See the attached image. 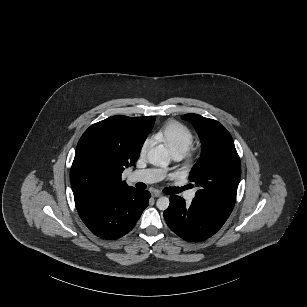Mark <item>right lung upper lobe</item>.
I'll return each instance as SVG.
<instances>
[{
  "label": "right lung upper lobe",
  "mask_w": 307,
  "mask_h": 307,
  "mask_svg": "<svg viewBox=\"0 0 307 307\" xmlns=\"http://www.w3.org/2000/svg\"><path fill=\"white\" fill-rule=\"evenodd\" d=\"M155 121L154 116L109 117L90 126L80 138L70 171L77 210L129 188L122 172L134 164Z\"/></svg>",
  "instance_id": "1"
}]
</instances>
